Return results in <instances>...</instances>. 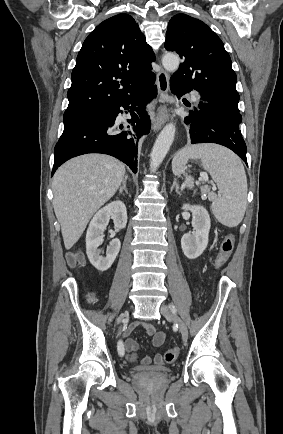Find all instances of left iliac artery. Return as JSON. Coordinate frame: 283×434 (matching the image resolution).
<instances>
[{"label":"left iliac artery","mask_w":283,"mask_h":434,"mask_svg":"<svg viewBox=\"0 0 283 434\" xmlns=\"http://www.w3.org/2000/svg\"><path fill=\"white\" fill-rule=\"evenodd\" d=\"M170 308L175 312L176 311V309H175V306L174 305H170Z\"/></svg>","instance_id":"1"}]
</instances>
